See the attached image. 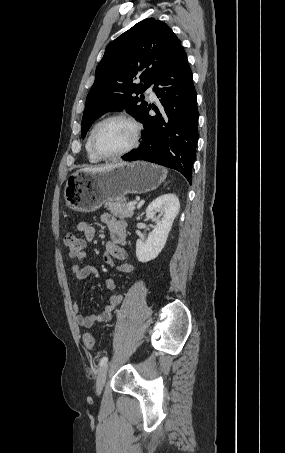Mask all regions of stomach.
Segmentation results:
<instances>
[{
  "instance_id": "stomach-1",
  "label": "stomach",
  "mask_w": 285,
  "mask_h": 453,
  "mask_svg": "<svg viewBox=\"0 0 285 453\" xmlns=\"http://www.w3.org/2000/svg\"><path fill=\"white\" fill-rule=\"evenodd\" d=\"M167 170L143 161L118 164L98 172L77 171L67 180L66 206L79 212H93L106 202H119L127 194H143L156 189Z\"/></svg>"
}]
</instances>
